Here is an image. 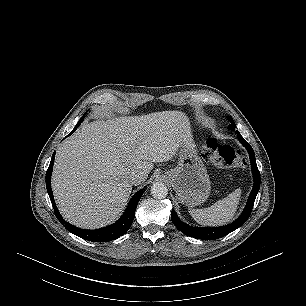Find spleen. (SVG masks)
<instances>
[{"instance_id":"obj_1","label":"spleen","mask_w":306,"mask_h":306,"mask_svg":"<svg viewBox=\"0 0 306 306\" xmlns=\"http://www.w3.org/2000/svg\"><path fill=\"white\" fill-rule=\"evenodd\" d=\"M240 197L241 189L238 188L210 207L204 209H189V213L200 225L221 226L233 219Z\"/></svg>"}]
</instances>
